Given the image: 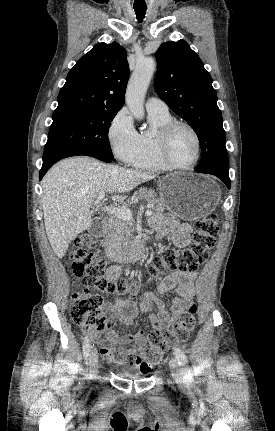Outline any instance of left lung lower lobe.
Masks as SVG:
<instances>
[{
    "instance_id": "0a47b994",
    "label": "left lung lower lobe",
    "mask_w": 275,
    "mask_h": 431,
    "mask_svg": "<svg viewBox=\"0 0 275 431\" xmlns=\"http://www.w3.org/2000/svg\"><path fill=\"white\" fill-rule=\"evenodd\" d=\"M197 171V170H196ZM197 172H201V173H206V174H212L217 176L218 178H220L225 184L226 186L230 189V178H229V173L227 172H217V171H210V170H201V171H197Z\"/></svg>"
}]
</instances>
